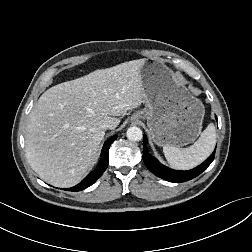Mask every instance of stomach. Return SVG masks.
<instances>
[{
	"label": "stomach",
	"instance_id": "0dacf381",
	"mask_svg": "<svg viewBox=\"0 0 252 252\" xmlns=\"http://www.w3.org/2000/svg\"><path fill=\"white\" fill-rule=\"evenodd\" d=\"M143 110L131 120L146 118L153 141L159 146H183L194 142L202 129V102L183 87L164 62L147 59L140 68Z\"/></svg>",
	"mask_w": 252,
	"mask_h": 252
}]
</instances>
